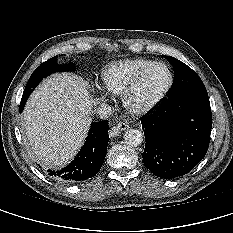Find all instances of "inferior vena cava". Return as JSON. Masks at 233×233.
I'll list each match as a JSON object with an SVG mask.
<instances>
[{
    "instance_id": "602c4592",
    "label": "inferior vena cava",
    "mask_w": 233,
    "mask_h": 233,
    "mask_svg": "<svg viewBox=\"0 0 233 233\" xmlns=\"http://www.w3.org/2000/svg\"><path fill=\"white\" fill-rule=\"evenodd\" d=\"M97 113L99 114L101 119H106L111 115L112 109L107 104H101L97 109Z\"/></svg>"
}]
</instances>
